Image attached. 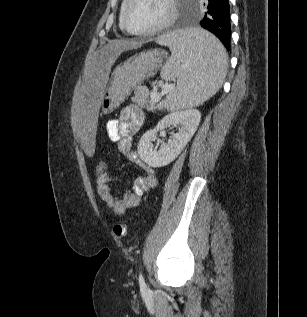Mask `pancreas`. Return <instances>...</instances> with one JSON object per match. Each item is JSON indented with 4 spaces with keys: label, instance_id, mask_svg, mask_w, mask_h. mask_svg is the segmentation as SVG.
<instances>
[{
    "label": "pancreas",
    "instance_id": "cf45deb5",
    "mask_svg": "<svg viewBox=\"0 0 307 317\" xmlns=\"http://www.w3.org/2000/svg\"><path fill=\"white\" fill-rule=\"evenodd\" d=\"M137 93L142 95L144 105L146 106L147 110L153 111L155 109V101L147 100L149 96V92L145 88H139L137 90Z\"/></svg>",
    "mask_w": 307,
    "mask_h": 317
}]
</instances>
